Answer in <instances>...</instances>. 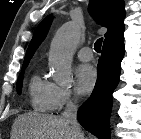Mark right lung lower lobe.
Here are the masks:
<instances>
[{
  "mask_svg": "<svg viewBox=\"0 0 141 139\" xmlns=\"http://www.w3.org/2000/svg\"><path fill=\"white\" fill-rule=\"evenodd\" d=\"M123 56L124 36L103 45L95 88L90 99L78 110L79 123L99 139L110 138L112 93L119 82Z\"/></svg>",
  "mask_w": 141,
  "mask_h": 139,
  "instance_id": "obj_1",
  "label": "right lung lower lobe"
}]
</instances>
